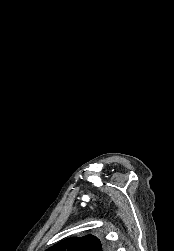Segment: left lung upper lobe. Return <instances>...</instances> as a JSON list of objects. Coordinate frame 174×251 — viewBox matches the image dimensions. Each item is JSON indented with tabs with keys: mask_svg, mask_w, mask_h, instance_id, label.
Instances as JSON below:
<instances>
[{
	"mask_svg": "<svg viewBox=\"0 0 174 251\" xmlns=\"http://www.w3.org/2000/svg\"><path fill=\"white\" fill-rule=\"evenodd\" d=\"M107 245L93 235L64 239L50 247L47 251H105Z\"/></svg>",
	"mask_w": 174,
	"mask_h": 251,
	"instance_id": "1",
	"label": "left lung upper lobe"
}]
</instances>
